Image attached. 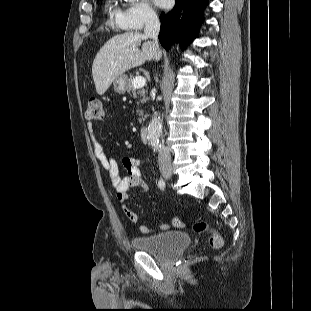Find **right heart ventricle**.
Masks as SVG:
<instances>
[{
  "instance_id": "obj_1",
  "label": "right heart ventricle",
  "mask_w": 311,
  "mask_h": 311,
  "mask_svg": "<svg viewBox=\"0 0 311 311\" xmlns=\"http://www.w3.org/2000/svg\"><path fill=\"white\" fill-rule=\"evenodd\" d=\"M105 8L109 11V13L112 12V9H113V6L110 2H108L106 5H105ZM117 14L118 13H114V24L118 27H120L119 23H118V20H117Z\"/></svg>"
}]
</instances>
